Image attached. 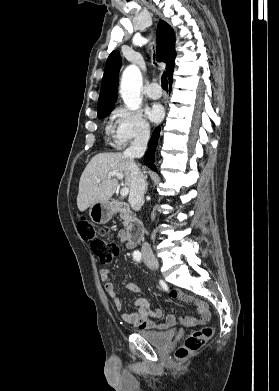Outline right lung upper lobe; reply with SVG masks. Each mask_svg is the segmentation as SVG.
<instances>
[{
    "mask_svg": "<svg viewBox=\"0 0 279 391\" xmlns=\"http://www.w3.org/2000/svg\"><path fill=\"white\" fill-rule=\"evenodd\" d=\"M175 34L173 29L160 20L157 27V61L166 63V72L169 81L172 80L174 60L176 57ZM121 66L119 51H113L105 65V71L101 83V91L98 99V112L111 108L117 99L118 74Z\"/></svg>",
    "mask_w": 279,
    "mask_h": 391,
    "instance_id": "right-lung-upper-lobe-1",
    "label": "right lung upper lobe"
}]
</instances>
